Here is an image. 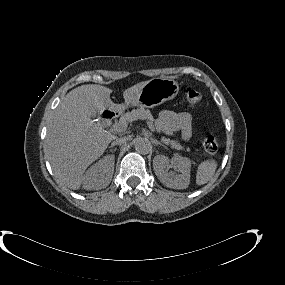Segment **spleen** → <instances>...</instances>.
Wrapping results in <instances>:
<instances>
[{
    "instance_id": "1",
    "label": "spleen",
    "mask_w": 285,
    "mask_h": 285,
    "mask_svg": "<svg viewBox=\"0 0 285 285\" xmlns=\"http://www.w3.org/2000/svg\"><path fill=\"white\" fill-rule=\"evenodd\" d=\"M217 166V161L214 159L203 161L197 169L196 184L203 185L209 182L214 176Z\"/></svg>"
}]
</instances>
